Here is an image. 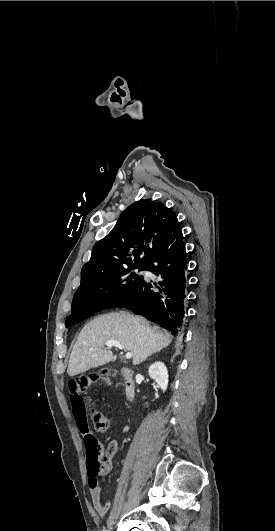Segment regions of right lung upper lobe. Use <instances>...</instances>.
Segmentation results:
<instances>
[{
  "label": "right lung upper lobe",
  "mask_w": 275,
  "mask_h": 531,
  "mask_svg": "<svg viewBox=\"0 0 275 531\" xmlns=\"http://www.w3.org/2000/svg\"><path fill=\"white\" fill-rule=\"evenodd\" d=\"M178 226L176 215L165 205L150 199L133 203L111 232L94 245L90 260L81 270L80 286L124 267L147 266ZM142 252L145 255L140 258Z\"/></svg>",
  "instance_id": "cb5924a9"
}]
</instances>
